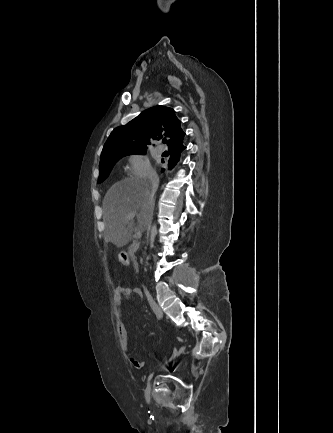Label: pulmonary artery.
I'll use <instances>...</instances> for the list:
<instances>
[{
  "mask_svg": "<svg viewBox=\"0 0 333 433\" xmlns=\"http://www.w3.org/2000/svg\"><path fill=\"white\" fill-rule=\"evenodd\" d=\"M157 151H158V153H163L164 152V147L162 145H159L157 147Z\"/></svg>",
  "mask_w": 333,
  "mask_h": 433,
  "instance_id": "1",
  "label": "pulmonary artery"
}]
</instances>
